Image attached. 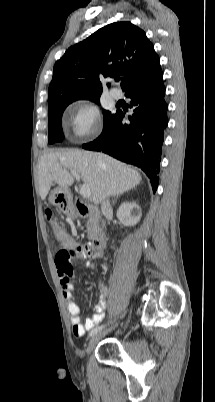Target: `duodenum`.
<instances>
[{
  "mask_svg": "<svg viewBox=\"0 0 215 402\" xmlns=\"http://www.w3.org/2000/svg\"><path fill=\"white\" fill-rule=\"evenodd\" d=\"M71 214L75 217H92V218H98V213L97 211L92 208L91 206L87 205L84 201H82L81 199H78L72 210H71ZM107 241L108 238L107 236L102 233L99 232L96 234L95 238H94V245L98 248V249H104L107 245Z\"/></svg>",
  "mask_w": 215,
  "mask_h": 402,
  "instance_id": "410a0bca",
  "label": "duodenum"
}]
</instances>
